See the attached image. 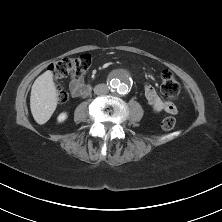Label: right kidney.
Returning <instances> with one entry per match:
<instances>
[{
    "instance_id": "right-kidney-1",
    "label": "right kidney",
    "mask_w": 222,
    "mask_h": 222,
    "mask_svg": "<svg viewBox=\"0 0 222 222\" xmlns=\"http://www.w3.org/2000/svg\"><path fill=\"white\" fill-rule=\"evenodd\" d=\"M67 117H68V114L66 112H62L58 115L57 121L59 123L64 122L67 119Z\"/></svg>"
}]
</instances>
